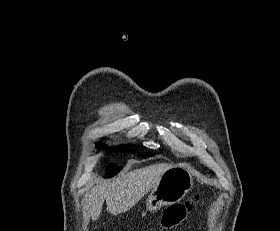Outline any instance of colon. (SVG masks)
<instances>
[{
    "label": "colon",
    "mask_w": 280,
    "mask_h": 231,
    "mask_svg": "<svg viewBox=\"0 0 280 231\" xmlns=\"http://www.w3.org/2000/svg\"><path fill=\"white\" fill-rule=\"evenodd\" d=\"M202 196L200 194L193 195L189 200H187L182 205H175L172 208H168L164 211V220H161V225H167L162 231H174L178 230L181 224L180 220H188L189 214L199 203ZM174 220L177 225H174Z\"/></svg>",
    "instance_id": "1"
}]
</instances>
